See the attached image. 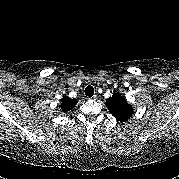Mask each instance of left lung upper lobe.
Here are the masks:
<instances>
[{"label": "left lung upper lobe", "instance_id": "5c2ea615", "mask_svg": "<svg viewBox=\"0 0 179 179\" xmlns=\"http://www.w3.org/2000/svg\"><path fill=\"white\" fill-rule=\"evenodd\" d=\"M105 104L110 113L120 122L128 120L133 114L132 106L118 93H113Z\"/></svg>", "mask_w": 179, "mask_h": 179}]
</instances>
